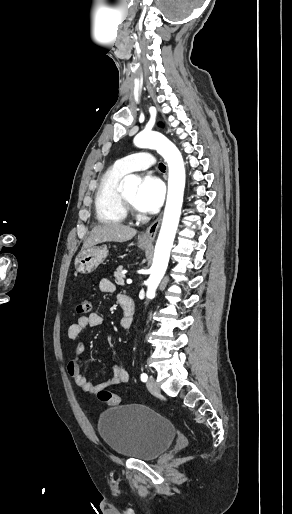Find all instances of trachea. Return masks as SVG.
Segmentation results:
<instances>
[{
  "label": "trachea",
  "instance_id": "obj_1",
  "mask_svg": "<svg viewBox=\"0 0 292 514\" xmlns=\"http://www.w3.org/2000/svg\"><path fill=\"white\" fill-rule=\"evenodd\" d=\"M159 169H160V170H165V169H166V167H165V165H164V164L160 163V164H159Z\"/></svg>",
  "mask_w": 292,
  "mask_h": 514
}]
</instances>
